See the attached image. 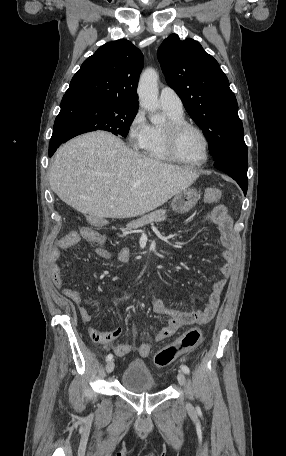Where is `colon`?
I'll use <instances>...</instances> for the list:
<instances>
[{"label":"colon","mask_w":286,"mask_h":456,"mask_svg":"<svg viewBox=\"0 0 286 456\" xmlns=\"http://www.w3.org/2000/svg\"><path fill=\"white\" fill-rule=\"evenodd\" d=\"M221 191L217 188L207 189L204 193L205 202H213L221 197ZM88 228H83L82 233H87ZM202 341V332L198 328H193L176 341L168 345L167 347L159 350L154 356V363L158 367H166L170 365L179 355L193 348L197 347ZM139 354L141 356H147L149 354V348L143 345L139 348Z\"/></svg>","instance_id":"5ec220e1"}]
</instances>
